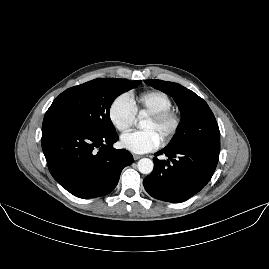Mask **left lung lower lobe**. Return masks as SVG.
Returning <instances> with one entry per match:
<instances>
[{
  "label": "left lung lower lobe",
  "mask_w": 269,
  "mask_h": 269,
  "mask_svg": "<svg viewBox=\"0 0 269 269\" xmlns=\"http://www.w3.org/2000/svg\"><path fill=\"white\" fill-rule=\"evenodd\" d=\"M165 154L169 160H159ZM219 152L206 147H165L155 154L154 169L144 181L146 191L166 202H183L198 193L211 179Z\"/></svg>",
  "instance_id": "1"
}]
</instances>
